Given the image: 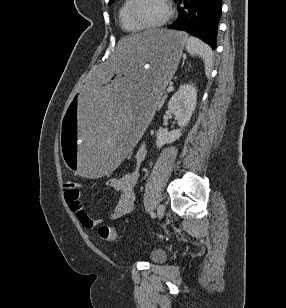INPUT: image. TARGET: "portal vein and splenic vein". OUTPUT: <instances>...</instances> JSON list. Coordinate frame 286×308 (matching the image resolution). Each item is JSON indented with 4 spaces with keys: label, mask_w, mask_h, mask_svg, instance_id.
I'll use <instances>...</instances> for the list:
<instances>
[{
    "label": "portal vein and splenic vein",
    "mask_w": 286,
    "mask_h": 308,
    "mask_svg": "<svg viewBox=\"0 0 286 308\" xmlns=\"http://www.w3.org/2000/svg\"><path fill=\"white\" fill-rule=\"evenodd\" d=\"M167 90H168V91H171V90H173V87H172V86H169V87L167 88Z\"/></svg>",
    "instance_id": "18ae733b"
}]
</instances>
